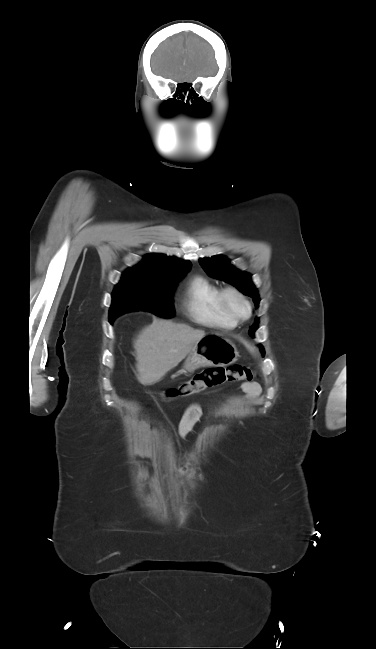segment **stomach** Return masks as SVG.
Returning <instances> with one entry per match:
<instances>
[{"label": "stomach", "mask_w": 376, "mask_h": 649, "mask_svg": "<svg viewBox=\"0 0 376 649\" xmlns=\"http://www.w3.org/2000/svg\"><path fill=\"white\" fill-rule=\"evenodd\" d=\"M238 357L239 352L230 339L221 334H205L193 345L180 372H194L205 366H228Z\"/></svg>", "instance_id": "obj_1"}]
</instances>
